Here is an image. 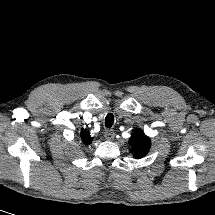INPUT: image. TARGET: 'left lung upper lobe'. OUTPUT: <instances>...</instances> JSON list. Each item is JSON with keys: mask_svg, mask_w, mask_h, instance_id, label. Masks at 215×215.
I'll use <instances>...</instances> for the list:
<instances>
[{"mask_svg": "<svg viewBox=\"0 0 215 215\" xmlns=\"http://www.w3.org/2000/svg\"><path fill=\"white\" fill-rule=\"evenodd\" d=\"M129 145L132 148L131 152L133 153L134 158L139 159L147 155L151 146V141L141 129H136L132 133L129 140Z\"/></svg>", "mask_w": 215, "mask_h": 215, "instance_id": "1", "label": "left lung upper lobe"}]
</instances>
